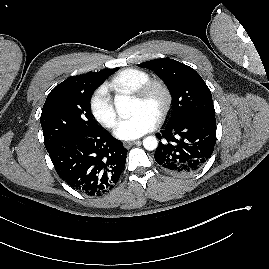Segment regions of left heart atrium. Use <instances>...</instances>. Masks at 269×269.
I'll return each instance as SVG.
<instances>
[{
  "label": "left heart atrium",
  "instance_id": "1",
  "mask_svg": "<svg viewBox=\"0 0 269 269\" xmlns=\"http://www.w3.org/2000/svg\"><path fill=\"white\" fill-rule=\"evenodd\" d=\"M157 118L146 110H140L117 125L115 134L123 140H133L155 128Z\"/></svg>",
  "mask_w": 269,
  "mask_h": 269
}]
</instances>
